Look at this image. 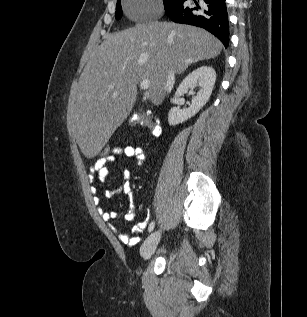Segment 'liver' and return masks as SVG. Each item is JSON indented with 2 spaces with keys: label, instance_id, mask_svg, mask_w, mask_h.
Returning a JSON list of instances; mask_svg holds the SVG:
<instances>
[{
  "label": "liver",
  "instance_id": "6515ba94",
  "mask_svg": "<svg viewBox=\"0 0 307 317\" xmlns=\"http://www.w3.org/2000/svg\"><path fill=\"white\" fill-rule=\"evenodd\" d=\"M222 43L204 29L155 22L108 34L89 58L72 100L73 133L87 157L97 155L130 114L137 83L150 81L148 97L164 99L170 70L217 57Z\"/></svg>",
  "mask_w": 307,
  "mask_h": 317
}]
</instances>
